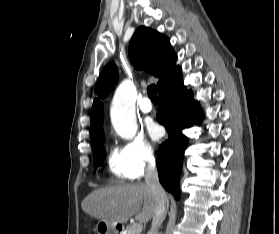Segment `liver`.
<instances>
[{"mask_svg": "<svg viewBox=\"0 0 279 234\" xmlns=\"http://www.w3.org/2000/svg\"><path fill=\"white\" fill-rule=\"evenodd\" d=\"M81 207L85 213L107 222L124 223L133 216L148 222L154 216L156 200L149 187L139 182L96 189Z\"/></svg>", "mask_w": 279, "mask_h": 234, "instance_id": "1", "label": "liver"}]
</instances>
